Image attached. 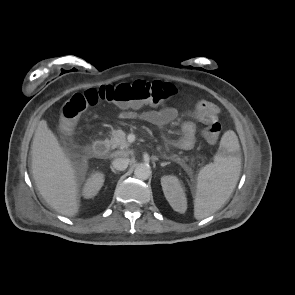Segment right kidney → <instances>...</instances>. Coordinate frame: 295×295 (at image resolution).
<instances>
[{
	"mask_svg": "<svg viewBox=\"0 0 295 295\" xmlns=\"http://www.w3.org/2000/svg\"><path fill=\"white\" fill-rule=\"evenodd\" d=\"M104 183V174L102 172H95L86 181L83 188V195L85 198H92L101 189Z\"/></svg>",
	"mask_w": 295,
	"mask_h": 295,
	"instance_id": "ca27d5eb",
	"label": "right kidney"
}]
</instances>
